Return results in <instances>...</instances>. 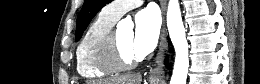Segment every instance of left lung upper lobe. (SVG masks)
<instances>
[{
    "mask_svg": "<svg viewBox=\"0 0 260 84\" xmlns=\"http://www.w3.org/2000/svg\"><path fill=\"white\" fill-rule=\"evenodd\" d=\"M111 0H85L84 5L78 14L76 39L79 40L83 31L86 29L90 21Z\"/></svg>",
    "mask_w": 260,
    "mask_h": 84,
    "instance_id": "obj_1",
    "label": "left lung upper lobe"
}]
</instances>
